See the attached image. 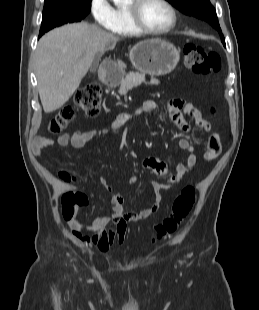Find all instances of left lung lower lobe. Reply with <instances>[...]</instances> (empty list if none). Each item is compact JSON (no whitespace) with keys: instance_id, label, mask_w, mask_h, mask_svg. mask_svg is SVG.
Segmentation results:
<instances>
[{"instance_id":"left-lung-lower-lobe-1","label":"left lung lower lobe","mask_w":259,"mask_h":310,"mask_svg":"<svg viewBox=\"0 0 259 310\" xmlns=\"http://www.w3.org/2000/svg\"><path fill=\"white\" fill-rule=\"evenodd\" d=\"M221 41H222V43L225 45V41H224V39H221Z\"/></svg>"}]
</instances>
